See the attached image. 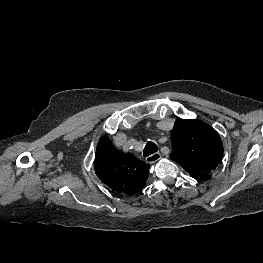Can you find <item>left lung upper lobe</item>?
<instances>
[{"label": "left lung upper lobe", "mask_w": 263, "mask_h": 263, "mask_svg": "<svg viewBox=\"0 0 263 263\" xmlns=\"http://www.w3.org/2000/svg\"><path fill=\"white\" fill-rule=\"evenodd\" d=\"M171 144L170 158L197 180H208L222 161L221 137L202 121L177 119L171 132Z\"/></svg>", "instance_id": "5c2ea615"}]
</instances>
